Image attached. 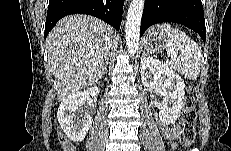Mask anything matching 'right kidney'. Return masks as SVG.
<instances>
[{
    "mask_svg": "<svg viewBox=\"0 0 231 151\" xmlns=\"http://www.w3.org/2000/svg\"><path fill=\"white\" fill-rule=\"evenodd\" d=\"M98 87H90L84 91H77L66 97L60 104L57 118L67 137L74 142H82L88 133L93 120L90 115L82 119L76 117V111L84 102L92 105L97 101Z\"/></svg>",
    "mask_w": 231,
    "mask_h": 151,
    "instance_id": "1",
    "label": "right kidney"
}]
</instances>
